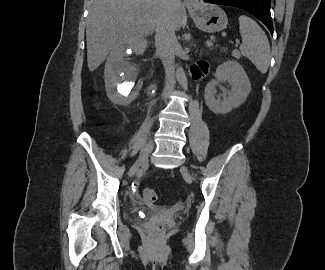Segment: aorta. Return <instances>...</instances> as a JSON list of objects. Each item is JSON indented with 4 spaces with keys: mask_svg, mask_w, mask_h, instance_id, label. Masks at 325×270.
I'll list each match as a JSON object with an SVG mask.
<instances>
[{
    "mask_svg": "<svg viewBox=\"0 0 325 270\" xmlns=\"http://www.w3.org/2000/svg\"><path fill=\"white\" fill-rule=\"evenodd\" d=\"M176 79L179 83V85L187 90L188 89V82H187V78H186V74L185 71L182 67H178L176 70Z\"/></svg>",
    "mask_w": 325,
    "mask_h": 270,
    "instance_id": "aorta-1",
    "label": "aorta"
}]
</instances>
